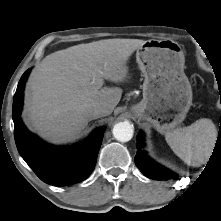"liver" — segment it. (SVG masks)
Returning a JSON list of instances; mask_svg holds the SVG:
<instances>
[{
    "mask_svg": "<svg viewBox=\"0 0 221 221\" xmlns=\"http://www.w3.org/2000/svg\"><path fill=\"white\" fill-rule=\"evenodd\" d=\"M146 41L105 39L79 44L46 56L26 87L24 118L42 138L63 143L79 136L91 120L89 107L110 115L122 96L120 87L101 88L102 78L118 83L128 75L127 61Z\"/></svg>",
    "mask_w": 221,
    "mask_h": 221,
    "instance_id": "obj_1",
    "label": "liver"
}]
</instances>
